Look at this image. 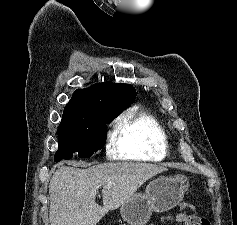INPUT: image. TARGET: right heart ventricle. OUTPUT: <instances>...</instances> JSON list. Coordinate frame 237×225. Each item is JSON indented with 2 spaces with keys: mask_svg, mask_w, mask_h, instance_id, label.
Returning <instances> with one entry per match:
<instances>
[{
  "mask_svg": "<svg viewBox=\"0 0 237 225\" xmlns=\"http://www.w3.org/2000/svg\"><path fill=\"white\" fill-rule=\"evenodd\" d=\"M113 156L120 160L160 161L170 153L167 133L160 122L144 112L120 117L112 137Z\"/></svg>",
  "mask_w": 237,
  "mask_h": 225,
  "instance_id": "1",
  "label": "right heart ventricle"
}]
</instances>
